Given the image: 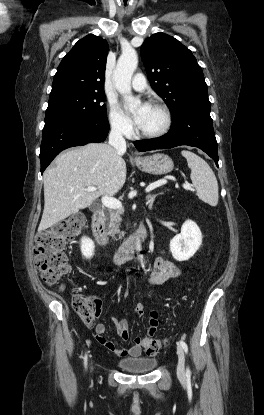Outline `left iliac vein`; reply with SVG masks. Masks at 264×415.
I'll return each instance as SVG.
<instances>
[{
	"instance_id": "4c4485c4",
	"label": "left iliac vein",
	"mask_w": 264,
	"mask_h": 415,
	"mask_svg": "<svg viewBox=\"0 0 264 415\" xmlns=\"http://www.w3.org/2000/svg\"><path fill=\"white\" fill-rule=\"evenodd\" d=\"M177 355H178L177 375L180 379H185V356H184V351L179 344H177Z\"/></svg>"
}]
</instances>
